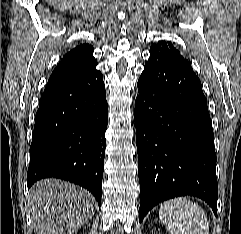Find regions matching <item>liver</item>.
Instances as JSON below:
<instances>
[{"label":"liver","instance_id":"liver-1","mask_svg":"<svg viewBox=\"0 0 241 234\" xmlns=\"http://www.w3.org/2000/svg\"><path fill=\"white\" fill-rule=\"evenodd\" d=\"M27 199L36 234H75L96 209L87 190L54 178L37 182Z\"/></svg>","mask_w":241,"mask_h":234}]
</instances>
